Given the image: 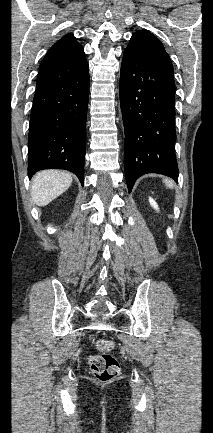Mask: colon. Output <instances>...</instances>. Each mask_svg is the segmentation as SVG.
Returning <instances> with one entry per match:
<instances>
[{
  "mask_svg": "<svg viewBox=\"0 0 213 433\" xmlns=\"http://www.w3.org/2000/svg\"><path fill=\"white\" fill-rule=\"evenodd\" d=\"M95 348L100 354L89 358V368L98 380L109 381L118 376L120 367L118 361L110 354L114 348V342L109 339L99 338L95 342Z\"/></svg>",
  "mask_w": 213,
  "mask_h": 433,
  "instance_id": "5ec220e1",
  "label": "colon"
}]
</instances>
